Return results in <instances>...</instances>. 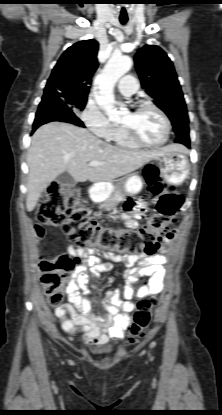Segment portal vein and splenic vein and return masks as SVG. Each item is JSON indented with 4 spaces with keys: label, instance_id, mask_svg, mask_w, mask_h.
I'll list each match as a JSON object with an SVG mask.
<instances>
[{
    "label": "portal vein and splenic vein",
    "instance_id": "18ae733b",
    "mask_svg": "<svg viewBox=\"0 0 222 415\" xmlns=\"http://www.w3.org/2000/svg\"><path fill=\"white\" fill-rule=\"evenodd\" d=\"M99 165H103V163L98 162V161H91V162H89V166L95 167V166H99Z\"/></svg>",
    "mask_w": 222,
    "mask_h": 415
}]
</instances>
